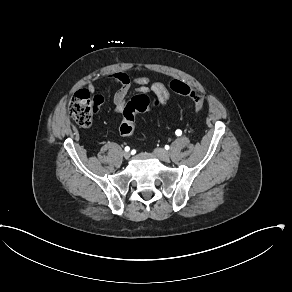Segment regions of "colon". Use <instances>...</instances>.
Wrapping results in <instances>:
<instances>
[{
	"instance_id": "5ec220e1",
	"label": "colon",
	"mask_w": 292,
	"mask_h": 292,
	"mask_svg": "<svg viewBox=\"0 0 292 292\" xmlns=\"http://www.w3.org/2000/svg\"><path fill=\"white\" fill-rule=\"evenodd\" d=\"M169 87L184 97H192L195 102V112L200 115L204 110L203 97L198 94H192V89L184 82L177 79L169 80ZM102 98L91 96V94L81 89L71 97L67 112L69 116L83 127H89L92 124L93 116L99 111L102 105ZM161 102L158 99H151L145 94H137L128 102L123 111L122 121L118 124V131L123 136H130L135 131L136 115L139 112H146L159 109Z\"/></svg>"
}]
</instances>
